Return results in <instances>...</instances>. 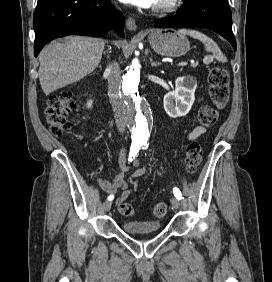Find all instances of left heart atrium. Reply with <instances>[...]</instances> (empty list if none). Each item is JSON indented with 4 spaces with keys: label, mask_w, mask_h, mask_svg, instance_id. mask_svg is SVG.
<instances>
[{
    "label": "left heart atrium",
    "mask_w": 272,
    "mask_h": 282,
    "mask_svg": "<svg viewBox=\"0 0 272 282\" xmlns=\"http://www.w3.org/2000/svg\"><path fill=\"white\" fill-rule=\"evenodd\" d=\"M130 4H134L140 7L148 8L153 7L157 0H122Z\"/></svg>",
    "instance_id": "left-heart-atrium-1"
}]
</instances>
